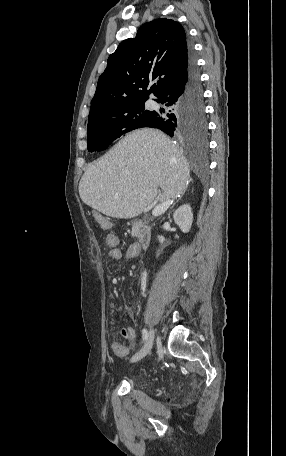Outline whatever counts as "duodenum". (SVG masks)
Wrapping results in <instances>:
<instances>
[{"mask_svg":"<svg viewBox=\"0 0 286 456\" xmlns=\"http://www.w3.org/2000/svg\"><path fill=\"white\" fill-rule=\"evenodd\" d=\"M137 233L139 239V247L145 248L149 246L152 240V229L151 226L146 222L137 223Z\"/></svg>","mask_w":286,"mask_h":456,"instance_id":"duodenum-1","label":"duodenum"}]
</instances>
